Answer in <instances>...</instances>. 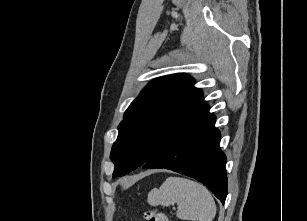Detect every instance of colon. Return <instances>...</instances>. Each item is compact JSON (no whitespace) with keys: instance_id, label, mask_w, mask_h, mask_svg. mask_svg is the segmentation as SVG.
I'll return each mask as SVG.
<instances>
[{"instance_id":"obj_1","label":"colon","mask_w":307,"mask_h":221,"mask_svg":"<svg viewBox=\"0 0 307 221\" xmlns=\"http://www.w3.org/2000/svg\"><path fill=\"white\" fill-rule=\"evenodd\" d=\"M143 217L146 221H168L166 215L156 208L145 211Z\"/></svg>"}]
</instances>
